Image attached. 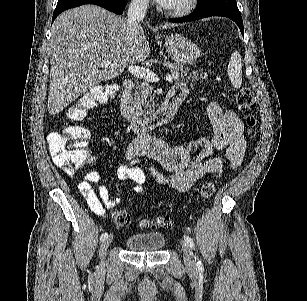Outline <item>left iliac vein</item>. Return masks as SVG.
Masks as SVG:
<instances>
[{
  "label": "left iliac vein",
  "mask_w": 307,
  "mask_h": 301,
  "mask_svg": "<svg viewBox=\"0 0 307 301\" xmlns=\"http://www.w3.org/2000/svg\"><path fill=\"white\" fill-rule=\"evenodd\" d=\"M181 247L186 267L190 270H193L196 266V263H195V256L191 247L185 241H181Z\"/></svg>",
  "instance_id": "4c4485c4"
}]
</instances>
